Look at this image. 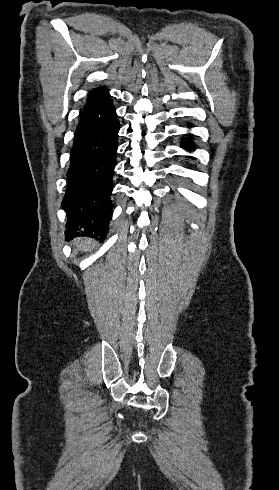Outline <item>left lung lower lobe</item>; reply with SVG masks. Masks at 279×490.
Wrapping results in <instances>:
<instances>
[{
	"label": "left lung lower lobe",
	"instance_id": "1",
	"mask_svg": "<svg viewBox=\"0 0 279 490\" xmlns=\"http://www.w3.org/2000/svg\"><path fill=\"white\" fill-rule=\"evenodd\" d=\"M182 147L183 148H186L188 150H193L195 147H194V144H193V141L191 140V138L187 139V140H183L182 141Z\"/></svg>",
	"mask_w": 279,
	"mask_h": 490
}]
</instances>
